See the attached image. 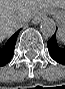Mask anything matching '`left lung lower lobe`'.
Wrapping results in <instances>:
<instances>
[{
  "mask_svg": "<svg viewBox=\"0 0 65 89\" xmlns=\"http://www.w3.org/2000/svg\"><path fill=\"white\" fill-rule=\"evenodd\" d=\"M48 51L51 57L58 63L65 65V41L53 35L51 39L47 42Z\"/></svg>",
  "mask_w": 65,
  "mask_h": 89,
  "instance_id": "0a47b994",
  "label": "left lung lower lobe"
}]
</instances>
